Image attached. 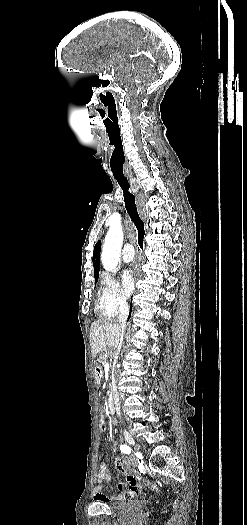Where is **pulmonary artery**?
<instances>
[{"instance_id": "pulmonary-artery-1", "label": "pulmonary artery", "mask_w": 247, "mask_h": 525, "mask_svg": "<svg viewBox=\"0 0 247 525\" xmlns=\"http://www.w3.org/2000/svg\"><path fill=\"white\" fill-rule=\"evenodd\" d=\"M122 254H123L122 260L124 262H127L128 260H131V257L134 254V251L132 249V245L131 244H126L124 246V248H123Z\"/></svg>"}]
</instances>
